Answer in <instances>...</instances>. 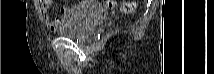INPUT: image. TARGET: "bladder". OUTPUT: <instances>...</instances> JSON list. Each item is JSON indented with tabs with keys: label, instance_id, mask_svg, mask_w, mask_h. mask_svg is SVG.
<instances>
[{
	"label": "bladder",
	"instance_id": "31cf9c89",
	"mask_svg": "<svg viewBox=\"0 0 214 74\" xmlns=\"http://www.w3.org/2000/svg\"><path fill=\"white\" fill-rule=\"evenodd\" d=\"M105 17L103 9L93 2H81L70 10L60 24L58 32L67 38L85 40L93 28L105 20Z\"/></svg>",
	"mask_w": 214,
	"mask_h": 74
}]
</instances>
